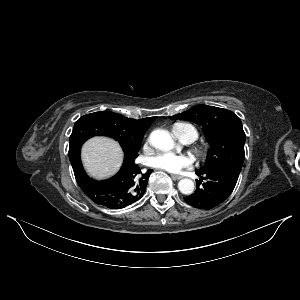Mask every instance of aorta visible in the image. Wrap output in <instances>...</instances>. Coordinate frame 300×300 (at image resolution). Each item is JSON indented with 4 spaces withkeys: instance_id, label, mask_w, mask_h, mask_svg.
<instances>
[{
    "instance_id": "1",
    "label": "aorta",
    "mask_w": 300,
    "mask_h": 300,
    "mask_svg": "<svg viewBox=\"0 0 300 300\" xmlns=\"http://www.w3.org/2000/svg\"><path fill=\"white\" fill-rule=\"evenodd\" d=\"M150 143L159 150H170L174 147V140L170 133L160 129L151 132ZM194 187V182L188 178H184L178 183V188L184 195L192 194L194 192Z\"/></svg>"
}]
</instances>
